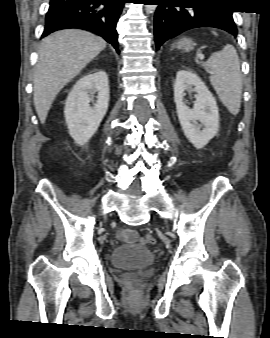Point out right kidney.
I'll return each mask as SVG.
<instances>
[{"instance_id":"1","label":"right kidney","mask_w":270,"mask_h":338,"mask_svg":"<svg viewBox=\"0 0 270 338\" xmlns=\"http://www.w3.org/2000/svg\"><path fill=\"white\" fill-rule=\"evenodd\" d=\"M98 93L97 101L90 106V94ZM109 104L107 74L99 70L80 78L70 91L64 108L69 134L79 145H84L97 131Z\"/></svg>"}]
</instances>
